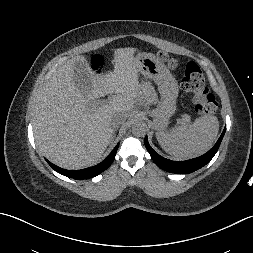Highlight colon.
Returning <instances> with one entry per match:
<instances>
[{"label":"colon","mask_w":253,"mask_h":253,"mask_svg":"<svg viewBox=\"0 0 253 253\" xmlns=\"http://www.w3.org/2000/svg\"><path fill=\"white\" fill-rule=\"evenodd\" d=\"M158 58L171 69L178 67L177 60L165 52H159ZM92 64L95 69H101L104 60L101 57H95ZM181 86L183 90L193 94V106L198 114L207 115L216 112L218 108L216 97L206 87L204 74L197 63H187Z\"/></svg>","instance_id":"5ec220e1"}]
</instances>
